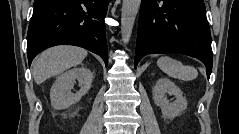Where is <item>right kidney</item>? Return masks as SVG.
<instances>
[{"mask_svg": "<svg viewBox=\"0 0 239 134\" xmlns=\"http://www.w3.org/2000/svg\"><path fill=\"white\" fill-rule=\"evenodd\" d=\"M75 80H78L80 90L73 94L71 89ZM93 74L91 70L85 67L73 68L58 76L54 82L51 91V105L56 110L69 108L72 104L78 102L92 86Z\"/></svg>", "mask_w": 239, "mask_h": 134, "instance_id": "1", "label": "right kidney"}]
</instances>
